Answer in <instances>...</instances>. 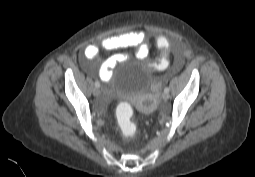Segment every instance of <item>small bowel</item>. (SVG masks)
I'll list each match as a JSON object with an SVG mask.
<instances>
[{
  "instance_id": "1",
  "label": "small bowel",
  "mask_w": 255,
  "mask_h": 177,
  "mask_svg": "<svg viewBox=\"0 0 255 177\" xmlns=\"http://www.w3.org/2000/svg\"><path fill=\"white\" fill-rule=\"evenodd\" d=\"M163 37V36H159ZM157 39V38H156ZM168 41V40H167ZM168 44L169 41H168ZM157 46V44H156ZM101 47L106 50H118L129 47H136V54L140 58L146 57L150 52V46L148 44V37L142 30L131 31L116 36L106 37L101 41ZM158 48V46H157ZM160 49V48H158ZM99 58V47L94 44L86 46L83 55L81 57L84 68L91 72V66L88 61L97 60ZM127 55L123 53H117L106 58L99 69V76L102 81H107L112 77L114 67L125 61ZM180 63V60H178Z\"/></svg>"
}]
</instances>
